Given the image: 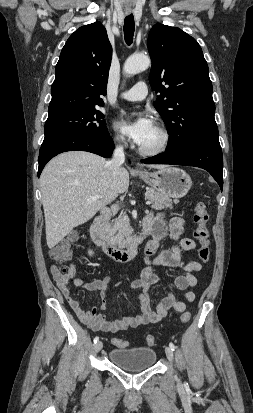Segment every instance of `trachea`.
<instances>
[{
	"label": "trachea",
	"instance_id": "3493384b",
	"mask_svg": "<svg viewBox=\"0 0 253 413\" xmlns=\"http://www.w3.org/2000/svg\"><path fill=\"white\" fill-rule=\"evenodd\" d=\"M134 30H135L134 17H133V14H130L125 17V21H124V38H125V42L128 45H131L133 42Z\"/></svg>",
	"mask_w": 253,
	"mask_h": 413
}]
</instances>
